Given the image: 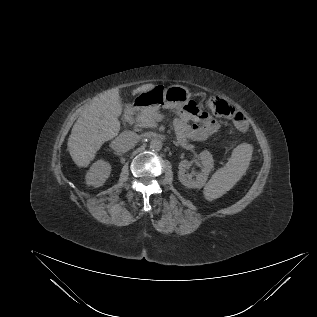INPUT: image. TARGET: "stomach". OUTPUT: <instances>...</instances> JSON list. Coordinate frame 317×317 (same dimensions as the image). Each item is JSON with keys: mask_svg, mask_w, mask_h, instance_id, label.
Listing matches in <instances>:
<instances>
[{"mask_svg": "<svg viewBox=\"0 0 317 317\" xmlns=\"http://www.w3.org/2000/svg\"><path fill=\"white\" fill-rule=\"evenodd\" d=\"M190 97L189 89L181 85H172L168 88L155 86L150 90L139 93L135 101L140 108L163 107L173 109L185 106Z\"/></svg>", "mask_w": 317, "mask_h": 317, "instance_id": "0dacf381", "label": "stomach"}]
</instances>
